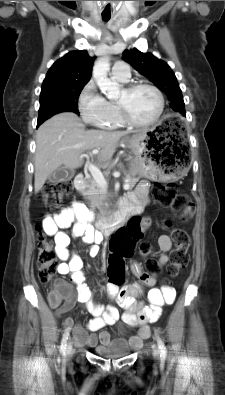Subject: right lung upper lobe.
Segmentation results:
<instances>
[{
	"instance_id": "1",
	"label": "right lung upper lobe",
	"mask_w": 225,
	"mask_h": 395,
	"mask_svg": "<svg viewBox=\"0 0 225 395\" xmlns=\"http://www.w3.org/2000/svg\"><path fill=\"white\" fill-rule=\"evenodd\" d=\"M95 57L86 50L71 51L49 69L42 86L53 84H86L91 77Z\"/></svg>"
}]
</instances>
